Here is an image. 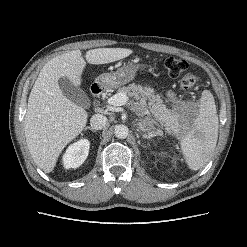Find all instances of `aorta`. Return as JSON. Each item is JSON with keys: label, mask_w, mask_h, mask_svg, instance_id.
<instances>
[{"label": "aorta", "mask_w": 247, "mask_h": 247, "mask_svg": "<svg viewBox=\"0 0 247 247\" xmlns=\"http://www.w3.org/2000/svg\"><path fill=\"white\" fill-rule=\"evenodd\" d=\"M114 134L119 139H125L129 134V128L126 125L119 124L115 127Z\"/></svg>", "instance_id": "762f6f07"}]
</instances>
